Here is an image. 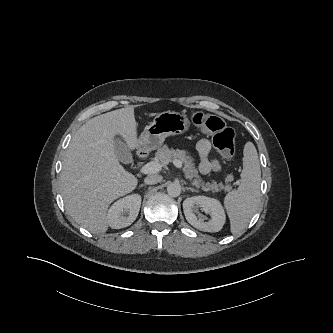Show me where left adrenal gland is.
<instances>
[{"label":"left adrenal gland","mask_w":333,"mask_h":333,"mask_svg":"<svg viewBox=\"0 0 333 333\" xmlns=\"http://www.w3.org/2000/svg\"><path fill=\"white\" fill-rule=\"evenodd\" d=\"M187 190H190L192 192H198V190L194 189V188H191V187H186Z\"/></svg>","instance_id":"left-adrenal-gland-1"}]
</instances>
